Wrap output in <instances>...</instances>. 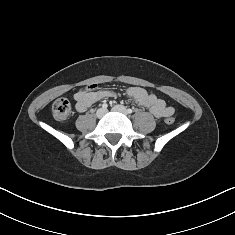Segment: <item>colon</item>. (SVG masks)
<instances>
[{
	"instance_id": "1",
	"label": "colon",
	"mask_w": 235,
	"mask_h": 235,
	"mask_svg": "<svg viewBox=\"0 0 235 235\" xmlns=\"http://www.w3.org/2000/svg\"><path fill=\"white\" fill-rule=\"evenodd\" d=\"M96 87H97L96 84H92L88 87V90H93ZM52 112L55 119L59 121H64L70 116L72 112L71 103L66 98H59L53 103ZM166 123L173 124L174 117L172 116L167 117Z\"/></svg>"
}]
</instances>
